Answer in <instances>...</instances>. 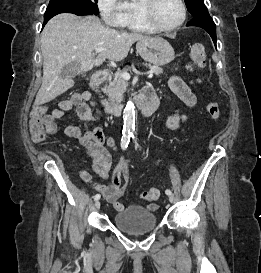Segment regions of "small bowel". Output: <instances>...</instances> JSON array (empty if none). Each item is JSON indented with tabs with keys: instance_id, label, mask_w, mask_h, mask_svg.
Instances as JSON below:
<instances>
[{
	"instance_id": "c3829d8e",
	"label": "small bowel",
	"mask_w": 261,
	"mask_h": 273,
	"mask_svg": "<svg viewBox=\"0 0 261 273\" xmlns=\"http://www.w3.org/2000/svg\"><path fill=\"white\" fill-rule=\"evenodd\" d=\"M168 83L172 92L186 108L192 109L195 107L197 97L182 78L172 76ZM145 89L151 90L150 88ZM153 95L158 106L160 99L156 94L153 93ZM72 106H76L77 115L85 125H69L65 128V134L70 138L79 140L85 148V155L92 159L91 171H83L82 177L86 181H89L92 175L98 179H106L111 168V156L104 145H107L115 152H118V147L115 140L106 134L102 128L86 126L87 123L97 118V114L93 110L94 103L91 101L89 92L73 95L70 100L62 102L58 109L47 114L44 122L45 128L47 132L55 133L57 131L56 121L63 116L65 110L70 109ZM185 120L186 115L176 111L167 118L166 125L170 130H178ZM130 165L131 160L121 155L117 166L113 170L111 183L93 184L94 189L100 192L117 211H121L124 208L120 198L124 195L130 180ZM122 179H124V183H122ZM148 208L155 210L157 205L151 204Z\"/></svg>"
}]
</instances>
